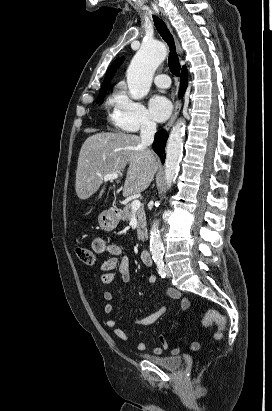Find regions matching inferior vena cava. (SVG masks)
Returning a JSON list of instances; mask_svg holds the SVG:
<instances>
[{
    "instance_id": "602c4592",
    "label": "inferior vena cava",
    "mask_w": 272,
    "mask_h": 411,
    "mask_svg": "<svg viewBox=\"0 0 272 411\" xmlns=\"http://www.w3.org/2000/svg\"><path fill=\"white\" fill-rule=\"evenodd\" d=\"M156 133V123L149 119H144L141 123L140 138L141 145L147 148L153 143L154 135Z\"/></svg>"
}]
</instances>
